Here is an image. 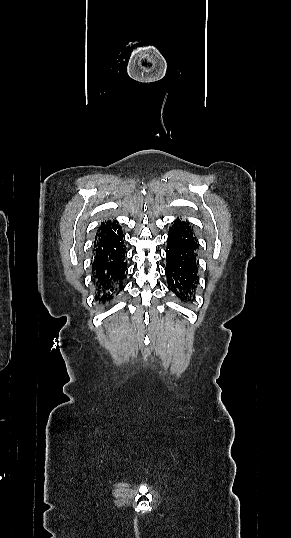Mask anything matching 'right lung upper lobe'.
<instances>
[{
    "mask_svg": "<svg viewBox=\"0 0 291 538\" xmlns=\"http://www.w3.org/2000/svg\"><path fill=\"white\" fill-rule=\"evenodd\" d=\"M111 223H112V222H111L110 220L105 221V223H102L101 226H100L99 228L104 227V226H106V225H109V224H111Z\"/></svg>",
    "mask_w": 291,
    "mask_h": 538,
    "instance_id": "1",
    "label": "right lung upper lobe"
}]
</instances>
